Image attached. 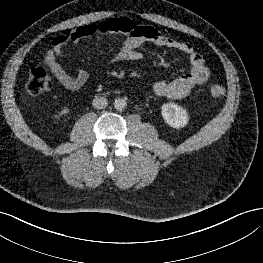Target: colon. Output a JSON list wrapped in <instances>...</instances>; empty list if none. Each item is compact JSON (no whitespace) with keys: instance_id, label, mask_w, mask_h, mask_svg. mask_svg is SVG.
Returning <instances> with one entry per match:
<instances>
[{"instance_id":"1","label":"colon","mask_w":263,"mask_h":263,"mask_svg":"<svg viewBox=\"0 0 263 263\" xmlns=\"http://www.w3.org/2000/svg\"><path fill=\"white\" fill-rule=\"evenodd\" d=\"M53 86L50 75L42 67H34L29 71L27 89L32 95H39L49 91ZM212 97H220L224 93V87L220 84H212L209 87Z\"/></svg>"}]
</instances>
